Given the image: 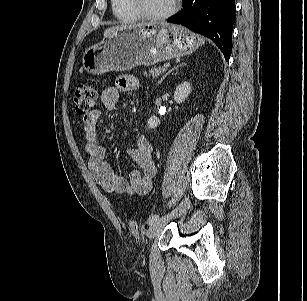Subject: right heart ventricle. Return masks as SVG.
I'll use <instances>...</instances> for the list:
<instances>
[{
  "label": "right heart ventricle",
  "mask_w": 307,
  "mask_h": 301,
  "mask_svg": "<svg viewBox=\"0 0 307 301\" xmlns=\"http://www.w3.org/2000/svg\"><path fill=\"white\" fill-rule=\"evenodd\" d=\"M111 6L116 18L121 22L132 23L140 20L129 0H111Z\"/></svg>",
  "instance_id": "e07e8e85"
}]
</instances>
